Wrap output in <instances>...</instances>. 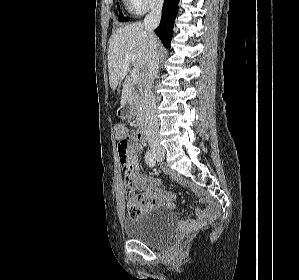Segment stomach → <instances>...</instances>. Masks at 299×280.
<instances>
[{
  "mask_svg": "<svg viewBox=\"0 0 299 280\" xmlns=\"http://www.w3.org/2000/svg\"><path fill=\"white\" fill-rule=\"evenodd\" d=\"M133 114V109L130 105L121 110L120 115L122 118H129Z\"/></svg>",
  "mask_w": 299,
  "mask_h": 280,
  "instance_id": "1",
  "label": "stomach"
}]
</instances>
